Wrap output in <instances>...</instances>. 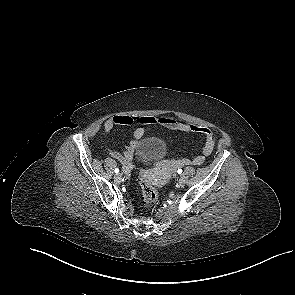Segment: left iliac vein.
<instances>
[{"instance_id": "1", "label": "left iliac vein", "mask_w": 295, "mask_h": 295, "mask_svg": "<svg viewBox=\"0 0 295 295\" xmlns=\"http://www.w3.org/2000/svg\"><path fill=\"white\" fill-rule=\"evenodd\" d=\"M178 184H179V186L183 187L186 184V180L183 177H181L178 180Z\"/></svg>"}]
</instances>
